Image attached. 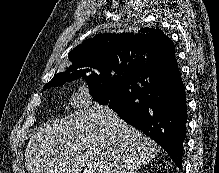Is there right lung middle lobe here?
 Returning <instances> with one entry per match:
<instances>
[{
	"label": "right lung middle lobe",
	"instance_id": "obj_1",
	"mask_svg": "<svg viewBox=\"0 0 219 173\" xmlns=\"http://www.w3.org/2000/svg\"><path fill=\"white\" fill-rule=\"evenodd\" d=\"M137 66L132 63H118L102 65L90 74L86 75H70V71L61 74L56 81L50 85L44 86V90L50 87H56L66 82L76 80L84 76L93 96L94 100L104 105L110 98L112 92L120 84V82L131 74Z\"/></svg>",
	"mask_w": 219,
	"mask_h": 173
}]
</instances>
